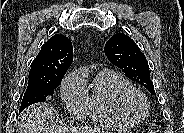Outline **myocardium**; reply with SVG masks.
<instances>
[{"label": "myocardium", "mask_w": 184, "mask_h": 133, "mask_svg": "<svg viewBox=\"0 0 184 133\" xmlns=\"http://www.w3.org/2000/svg\"><path fill=\"white\" fill-rule=\"evenodd\" d=\"M133 98H138L143 104L144 110L142 113L138 114L131 109L129 103ZM117 106L119 112L132 122L144 120L150 112V105L147 97L143 92L134 87L124 89L119 93L117 97Z\"/></svg>", "instance_id": "1"}]
</instances>
